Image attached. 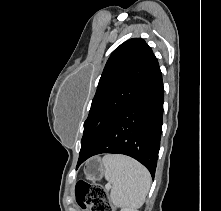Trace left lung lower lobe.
Here are the masks:
<instances>
[{
  "mask_svg": "<svg viewBox=\"0 0 221 211\" xmlns=\"http://www.w3.org/2000/svg\"><path fill=\"white\" fill-rule=\"evenodd\" d=\"M164 89L158 62L137 95L125 106L106 133L78 160L79 166L101 153L128 155L155 176L162 133Z\"/></svg>",
  "mask_w": 221,
  "mask_h": 211,
  "instance_id": "0a47b994",
  "label": "left lung lower lobe"
}]
</instances>
